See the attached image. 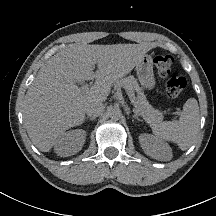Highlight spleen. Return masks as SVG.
Returning a JSON list of instances; mask_svg holds the SVG:
<instances>
[{
  "mask_svg": "<svg viewBox=\"0 0 216 216\" xmlns=\"http://www.w3.org/2000/svg\"><path fill=\"white\" fill-rule=\"evenodd\" d=\"M200 125L198 102L190 98L183 106L179 120L165 121L153 127L156 137L176 143L181 150L193 144Z\"/></svg>",
  "mask_w": 216,
  "mask_h": 216,
  "instance_id": "obj_1",
  "label": "spleen"
}]
</instances>
